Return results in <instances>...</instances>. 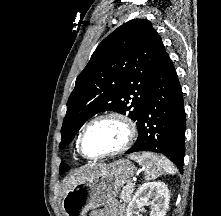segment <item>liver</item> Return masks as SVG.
<instances>
[{"mask_svg":"<svg viewBox=\"0 0 221 216\" xmlns=\"http://www.w3.org/2000/svg\"><path fill=\"white\" fill-rule=\"evenodd\" d=\"M98 167L97 164L92 163L86 166L76 169L72 175L63 180L64 192L67 193L76 184H78L82 179L88 176L92 171Z\"/></svg>","mask_w":221,"mask_h":216,"instance_id":"6515ba94","label":"liver"}]
</instances>
